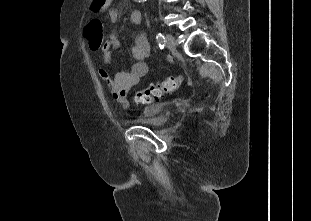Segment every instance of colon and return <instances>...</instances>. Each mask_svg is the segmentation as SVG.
Listing matches in <instances>:
<instances>
[{
	"instance_id": "obj_1",
	"label": "colon",
	"mask_w": 311,
	"mask_h": 221,
	"mask_svg": "<svg viewBox=\"0 0 311 221\" xmlns=\"http://www.w3.org/2000/svg\"><path fill=\"white\" fill-rule=\"evenodd\" d=\"M87 35L91 49L98 50L102 44L104 35L103 23L99 18L91 19L87 24ZM184 78L180 75L170 76L161 82L136 90L131 94L135 103L151 105L174 93L182 84Z\"/></svg>"
}]
</instances>
